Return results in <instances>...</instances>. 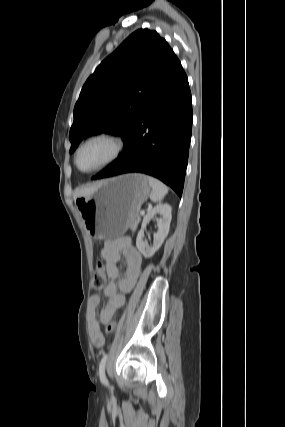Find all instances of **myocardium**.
Wrapping results in <instances>:
<instances>
[{
  "mask_svg": "<svg viewBox=\"0 0 285 427\" xmlns=\"http://www.w3.org/2000/svg\"><path fill=\"white\" fill-rule=\"evenodd\" d=\"M97 140H106V141H109L113 144L114 149H113L111 156L105 162H103L101 165H99L93 169H90V170L81 169L79 166V156H80L81 151L83 150V148L85 146H87L91 142L97 141ZM123 150H124V141L119 135H117L113 132H108V131L100 132V133H97V134L90 136L89 138L84 140L79 145V147L76 151V154H75V165L80 172L85 173V174L99 172V171L106 169L110 165H112L121 156Z\"/></svg>",
  "mask_w": 285,
  "mask_h": 427,
  "instance_id": "obj_1",
  "label": "myocardium"
}]
</instances>
